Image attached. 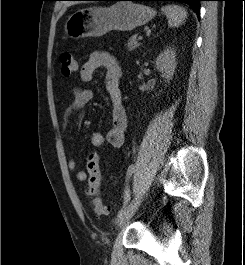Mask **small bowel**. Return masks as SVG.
Returning a JSON list of instances; mask_svg holds the SVG:
<instances>
[{"mask_svg": "<svg viewBox=\"0 0 245 265\" xmlns=\"http://www.w3.org/2000/svg\"><path fill=\"white\" fill-rule=\"evenodd\" d=\"M98 69L105 70V88L112 102V126L106 135L100 132H93L90 142L97 148L104 146L106 143L114 148H120L124 144L125 132L128 125L127 113L122 102L120 89L122 67L109 53L95 51L81 67V80L84 82L91 81ZM92 98L93 91L90 88H74L72 100L63 112V130L67 128L70 119L73 117L81 119L84 107ZM77 166L75 159L71 158L68 160L67 167L70 171H77ZM76 178L78 181L84 182L88 180V175L85 171L80 170L76 172Z\"/></svg>", "mask_w": 245, "mask_h": 265, "instance_id": "c3829d8e", "label": "small bowel"}]
</instances>
